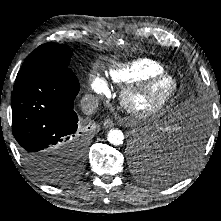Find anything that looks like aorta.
Instances as JSON below:
<instances>
[{
  "instance_id": "aorta-1",
  "label": "aorta",
  "mask_w": 221,
  "mask_h": 221,
  "mask_svg": "<svg viewBox=\"0 0 221 221\" xmlns=\"http://www.w3.org/2000/svg\"><path fill=\"white\" fill-rule=\"evenodd\" d=\"M108 141L114 146H119L123 144L124 134L121 130L111 129L107 135Z\"/></svg>"
}]
</instances>
